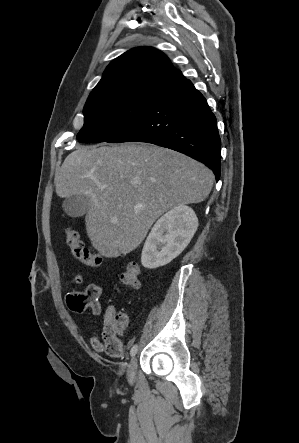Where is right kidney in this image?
Masks as SVG:
<instances>
[{
    "label": "right kidney",
    "mask_w": 299,
    "mask_h": 443,
    "mask_svg": "<svg viewBox=\"0 0 299 443\" xmlns=\"http://www.w3.org/2000/svg\"><path fill=\"white\" fill-rule=\"evenodd\" d=\"M198 228V219L192 208L182 205L166 212L154 224L141 255L147 269L170 263L187 247Z\"/></svg>",
    "instance_id": "1"
}]
</instances>
